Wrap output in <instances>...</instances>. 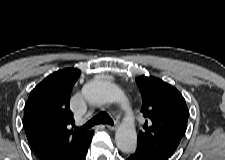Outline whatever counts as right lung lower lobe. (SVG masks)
<instances>
[{
    "label": "right lung lower lobe",
    "mask_w": 225,
    "mask_h": 160,
    "mask_svg": "<svg viewBox=\"0 0 225 160\" xmlns=\"http://www.w3.org/2000/svg\"><path fill=\"white\" fill-rule=\"evenodd\" d=\"M90 142L87 143L78 153L70 157L54 158V157H39L38 155L37 156L42 160H83L84 157L86 156Z\"/></svg>",
    "instance_id": "1"
}]
</instances>
